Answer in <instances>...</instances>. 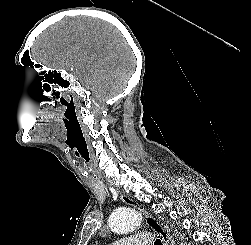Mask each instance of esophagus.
<instances>
[{
	"label": "esophagus",
	"instance_id": "1",
	"mask_svg": "<svg viewBox=\"0 0 251 245\" xmlns=\"http://www.w3.org/2000/svg\"><path fill=\"white\" fill-rule=\"evenodd\" d=\"M109 185V184H108ZM120 199L133 207H136L137 210L143 214L144 216V221L145 223L155 232L160 236L162 240V245H174V239L172 236L169 234L168 229H166L162 224H160L154 217L149 215L144 209L137 205L135 201L130 199L124 194H120Z\"/></svg>",
	"mask_w": 251,
	"mask_h": 245
}]
</instances>
